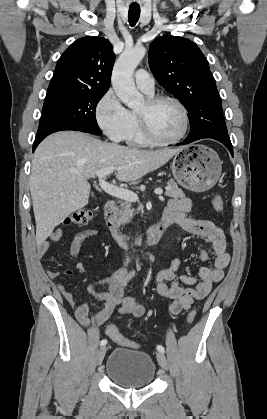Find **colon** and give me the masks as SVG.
<instances>
[{
  "label": "colon",
  "instance_id": "obj_1",
  "mask_svg": "<svg viewBox=\"0 0 267 419\" xmlns=\"http://www.w3.org/2000/svg\"><path fill=\"white\" fill-rule=\"evenodd\" d=\"M212 206L216 211H222L224 208V201L220 196H215L212 200ZM93 217V213L90 209L82 208L79 210L74 211L65 221L66 225H85L87 224ZM196 311L192 310L188 313L186 321L187 323H192L195 320ZM106 334L113 340L115 343L131 348V349H138L140 345L134 341H131L125 338L123 335L120 334L118 329L115 325L109 324L106 327Z\"/></svg>",
  "mask_w": 267,
  "mask_h": 419
}]
</instances>
